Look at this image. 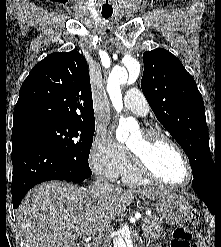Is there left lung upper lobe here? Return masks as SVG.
Instances as JSON below:
<instances>
[{
  "label": "left lung upper lobe",
  "instance_id": "5c2ea615",
  "mask_svg": "<svg viewBox=\"0 0 221 247\" xmlns=\"http://www.w3.org/2000/svg\"><path fill=\"white\" fill-rule=\"evenodd\" d=\"M141 88L151 109L187 154L193 177L213 168L205 107L193 77L178 58L158 48L143 54Z\"/></svg>",
  "mask_w": 221,
  "mask_h": 247
}]
</instances>
